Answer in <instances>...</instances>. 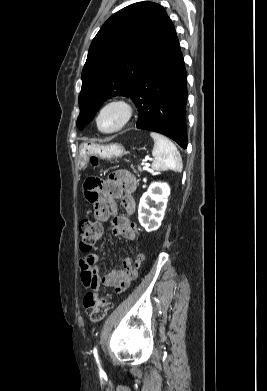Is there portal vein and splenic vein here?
I'll use <instances>...</instances> for the list:
<instances>
[{
    "label": "portal vein and splenic vein",
    "mask_w": 267,
    "mask_h": 391,
    "mask_svg": "<svg viewBox=\"0 0 267 391\" xmlns=\"http://www.w3.org/2000/svg\"><path fill=\"white\" fill-rule=\"evenodd\" d=\"M149 160H153V159H149ZM142 165L143 166H149V163H147L146 161L142 162Z\"/></svg>",
    "instance_id": "obj_1"
}]
</instances>
